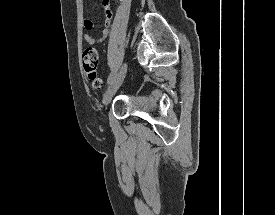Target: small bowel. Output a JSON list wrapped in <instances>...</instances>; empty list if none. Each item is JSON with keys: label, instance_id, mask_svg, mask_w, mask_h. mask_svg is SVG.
<instances>
[{"label": "small bowel", "instance_id": "1", "mask_svg": "<svg viewBox=\"0 0 275 215\" xmlns=\"http://www.w3.org/2000/svg\"><path fill=\"white\" fill-rule=\"evenodd\" d=\"M103 5H104V11H105V16L106 20L104 22V29L101 31V34L98 37H95L92 33L91 30L94 28V23L91 20H85L84 21V27L88 32H86L83 36L84 41L87 44H97L103 42L109 35V31L107 29V26L110 23V20L112 18V13L108 7L109 5V0H103Z\"/></svg>", "mask_w": 275, "mask_h": 215}]
</instances>
